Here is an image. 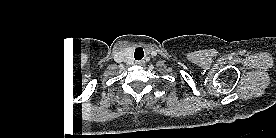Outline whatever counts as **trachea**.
<instances>
[{
	"mask_svg": "<svg viewBox=\"0 0 276 138\" xmlns=\"http://www.w3.org/2000/svg\"><path fill=\"white\" fill-rule=\"evenodd\" d=\"M144 57V52L142 48H136L134 52L135 60H141Z\"/></svg>",
	"mask_w": 276,
	"mask_h": 138,
	"instance_id": "obj_1",
	"label": "trachea"
}]
</instances>
